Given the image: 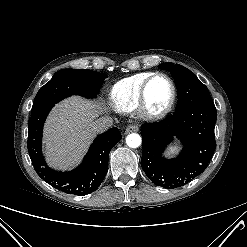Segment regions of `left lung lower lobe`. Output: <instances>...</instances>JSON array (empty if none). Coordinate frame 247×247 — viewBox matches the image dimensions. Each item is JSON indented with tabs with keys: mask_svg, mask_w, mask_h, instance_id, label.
I'll use <instances>...</instances> for the list:
<instances>
[{
	"mask_svg": "<svg viewBox=\"0 0 247 247\" xmlns=\"http://www.w3.org/2000/svg\"><path fill=\"white\" fill-rule=\"evenodd\" d=\"M217 111L213 102L187 107L160 122L141 126L143 153L141 166L157 186L181 187L201 174L216 148L214 125ZM183 149L176 158L166 159L163 152L172 138Z\"/></svg>",
	"mask_w": 247,
	"mask_h": 247,
	"instance_id": "1",
	"label": "left lung lower lobe"
}]
</instances>
